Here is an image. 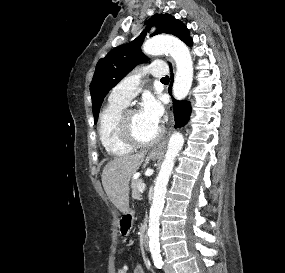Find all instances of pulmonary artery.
I'll return each instance as SVG.
<instances>
[{"instance_id": "e3ab8cb5", "label": "pulmonary artery", "mask_w": 285, "mask_h": 273, "mask_svg": "<svg viewBox=\"0 0 285 273\" xmlns=\"http://www.w3.org/2000/svg\"><path fill=\"white\" fill-rule=\"evenodd\" d=\"M149 73L154 77H165L168 67L163 61H153L148 68L142 69L136 75H132L117 84L111 92L110 100L128 104L140 89V76Z\"/></svg>"}]
</instances>
